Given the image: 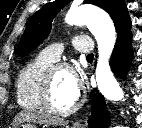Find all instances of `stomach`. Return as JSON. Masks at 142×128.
Here are the masks:
<instances>
[{
    "label": "stomach",
    "instance_id": "obj_1",
    "mask_svg": "<svg viewBox=\"0 0 142 128\" xmlns=\"http://www.w3.org/2000/svg\"><path fill=\"white\" fill-rule=\"evenodd\" d=\"M15 128H37V126L31 123H20Z\"/></svg>",
    "mask_w": 142,
    "mask_h": 128
}]
</instances>
